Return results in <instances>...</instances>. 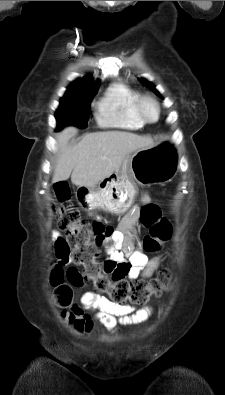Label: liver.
I'll list each match as a JSON object with an SVG mask.
<instances>
[{"label": "liver", "instance_id": "6515ba94", "mask_svg": "<svg viewBox=\"0 0 225 395\" xmlns=\"http://www.w3.org/2000/svg\"><path fill=\"white\" fill-rule=\"evenodd\" d=\"M76 133L77 129L71 126L56 136L59 152L53 183L71 176L74 185L94 188L104 178L117 173L129 154L154 146L150 136L121 131L86 134L78 144L68 146Z\"/></svg>", "mask_w": 225, "mask_h": 395}]
</instances>
